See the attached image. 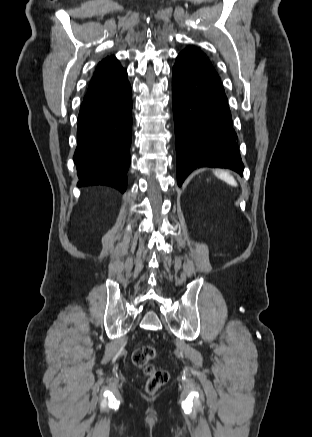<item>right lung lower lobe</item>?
Segmentation results:
<instances>
[{
  "mask_svg": "<svg viewBox=\"0 0 312 437\" xmlns=\"http://www.w3.org/2000/svg\"><path fill=\"white\" fill-rule=\"evenodd\" d=\"M131 92L125 73L107 88L84 97L73 158L78 187L106 185L125 191L130 165Z\"/></svg>",
  "mask_w": 312,
  "mask_h": 437,
  "instance_id": "98d812e1",
  "label": "right lung lower lobe"
}]
</instances>
